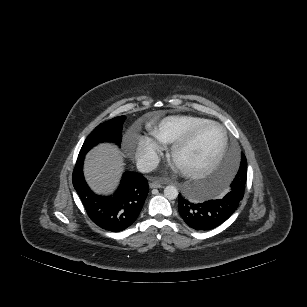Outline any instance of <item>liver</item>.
<instances>
[{"mask_svg":"<svg viewBox=\"0 0 307 307\" xmlns=\"http://www.w3.org/2000/svg\"><path fill=\"white\" fill-rule=\"evenodd\" d=\"M124 169L123 157L110 144H102L90 151L85 160L84 174L89 186L99 194L111 193Z\"/></svg>","mask_w":307,"mask_h":307,"instance_id":"1","label":"liver"}]
</instances>
